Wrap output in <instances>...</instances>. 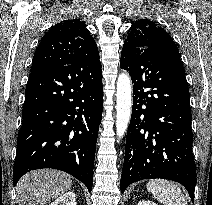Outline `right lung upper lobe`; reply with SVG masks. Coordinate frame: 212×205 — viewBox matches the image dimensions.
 <instances>
[{
	"mask_svg": "<svg viewBox=\"0 0 212 205\" xmlns=\"http://www.w3.org/2000/svg\"><path fill=\"white\" fill-rule=\"evenodd\" d=\"M94 38L79 19L57 23L41 39L32 62L31 72L47 67L70 64H99Z\"/></svg>",
	"mask_w": 212,
	"mask_h": 205,
	"instance_id": "1",
	"label": "right lung upper lobe"
}]
</instances>
